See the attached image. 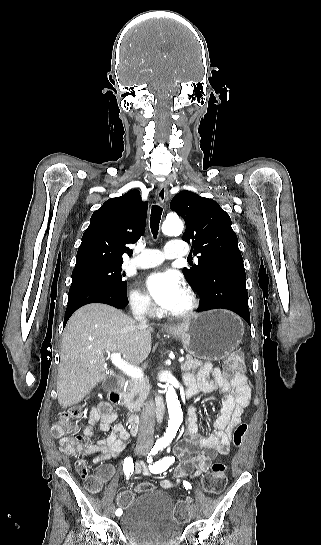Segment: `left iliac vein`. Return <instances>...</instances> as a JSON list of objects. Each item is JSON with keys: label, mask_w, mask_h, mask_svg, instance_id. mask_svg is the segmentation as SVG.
Wrapping results in <instances>:
<instances>
[{"label": "left iliac vein", "mask_w": 321, "mask_h": 545, "mask_svg": "<svg viewBox=\"0 0 321 545\" xmlns=\"http://www.w3.org/2000/svg\"><path fill=\"white\" fill-rule=\"evenodd\" d=\"M190 512H191L192 518H195L198 512V508L196 504L191 505Z\"/></svg>", "instance_id": "obj_1"}]
</instances>
